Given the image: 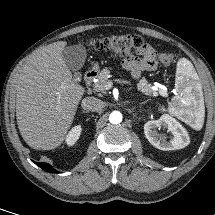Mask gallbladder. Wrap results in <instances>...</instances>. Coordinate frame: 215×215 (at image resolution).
I'll return each mask as SVG.
<instances>
[{"mask_svg":"<svg viewBox=\"0 0 215 215\" xmlns=\"http://www.w3.org/2000/svg\"><path fill=\"white\" fill-rule=\"evenodd\" d=\"M86 49L83 45L65 46L62 51V58L68 68L74 72L75 78L79 79V70L83 67L86 60Z\"/></svg>","mask_w":215,"mask_h":215,"instance_id":"obj_1","label":"gallbladder"}]
</instances>
